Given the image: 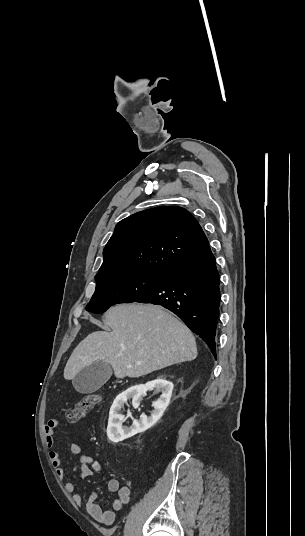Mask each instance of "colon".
<instances>
[{"label":"colon","mask_w":305,"mask_h":536,"mask_svg":"<svg viewBox=\"0 0 305 536\" xmlns=\"http://www.w3.org/2000/svg\"><path fill=\"white\" fill-rule=\"evenodd\" d=\"M101 395L99 393H90L78 399L74 405L70 406L67 411L66 419L70 423L77 422L81 417L87 414L91 409L101 402Z\"/></svg>","instance_id":"1"}]
</instances>
